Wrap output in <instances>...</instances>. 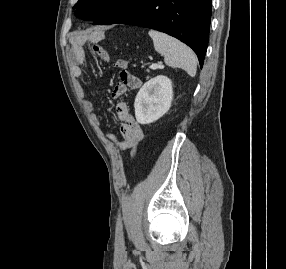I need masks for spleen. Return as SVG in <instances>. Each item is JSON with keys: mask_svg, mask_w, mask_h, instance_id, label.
<instances>
[{"mask_svg": "<svg viewBox=\"0 0 286 269\" xmlns=\"http://www.w3.org/2000/svg\"><path fill=\"white\" fill-rule=\"evenodd\" d=\"M155 50L164 56L166 65L181 68L194 77L197 71V59L194 52L181 41L159 31L150 30Z\"/></svg>", "mask_w": 286, "mask_h": 269, "instance_id": "obj_1", "label": "spleen"}]
</instances>
